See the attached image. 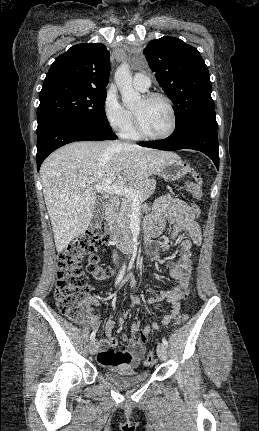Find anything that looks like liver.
Returning a JSON list of instances; mask_svg holds the SVG:
<instances>
[{
	"label": "liver",
	"mask_w": 259,
	"mask_h": 431,
	"mask_svg": "<svg viewBox=\"0 0 259 431\" xmlns=\"http://www.w3.org/2000/svg\"><path fill=\"white\" fill-rule=\"evenodd\" d=\"M174 156L112 141L74 142L53 152L43 162L40 176L56 250L61 252L89 227L96 204V183L108 178H114L117 184L142 181L158 173Z\"/></svg>",
	"instance_id": "6515ba94"
}]
</instances>
